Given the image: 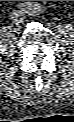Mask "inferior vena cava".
Returning <instances> with one entry per match:
<instances>
[{
	"label": "inferior vena cava",
	"instance_id": "obj_1",
	"mask_svg": "<svg viewBox=\"0 0 74 122\" xmlns=\"http://www.w3.org/2000/svg\"><path fill=\"white\" fill-rule=\"evenodd\" d=\"M25 14L22 11H15L12 13V21L14 24L19 25L24 22Z\"/></svg>",
	"mask_w": 74,
	"mask_h": 122
}]
</instances>
